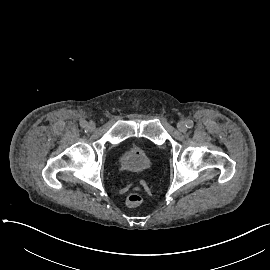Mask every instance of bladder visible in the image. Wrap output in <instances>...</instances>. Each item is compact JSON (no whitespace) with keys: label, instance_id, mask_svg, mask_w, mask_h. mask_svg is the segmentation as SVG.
Here are the masks:
<instances>
[{"label":"bladder","instance_id":"obj_1","mask_svg":"<svg viewBox=\"0 0 270 270\" xmlns=\"http://www.w3.org/2000/svg\"><path fill=\"white\" fill-rule=\"evenodd\" d=\"M153 156L152 146H145L140 140H130L123 147L121 164L131 172H140L147 168Z\"/></svg>","mask_w":270,"mask_h":270}]
</instances>
